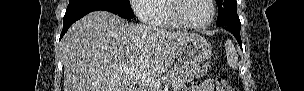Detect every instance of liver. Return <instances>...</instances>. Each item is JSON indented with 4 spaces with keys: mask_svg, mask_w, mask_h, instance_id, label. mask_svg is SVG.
<instances>
[{
    "mask_svg": "<svg viewBox=\"0 0 304 91\" xmlns=\"http://www.w3.org/2000/svg\"><path fill=\"white\" fill-rule=\"evenodd\" d=\"M195 37L131 24L107 11L91 12L62 39L64 91H134L138 76L166 72L178 49Z\"/></svg>",
    "mask_w": 304,
    "mask_h": 91,
    "instance_id": "liver-1",
    "label": "liver"
}]
</instances>
